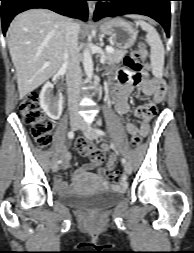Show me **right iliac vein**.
<instances>
[{
  "label": "right iliac vein",
  "instance_id": "obj_1",
  "mask_svg": "<svg viewBox=\"0 0 194 253\" xmlns=\"http://www.w3.org/2000/svg\"><path fill=\"white\" fill-rule=\"evenodd\" d=\"M70 126H71V129H72L73 131H76V130L79 128V126H80V121L77 120V119H72V120L70 121ZM58 168H59L58 163H54V164L52 165V170H53V172L58 171Z\"/></svg>",
  "mask_w": 194,
  "mask_h": 253
}]
</instances>
